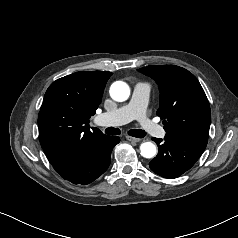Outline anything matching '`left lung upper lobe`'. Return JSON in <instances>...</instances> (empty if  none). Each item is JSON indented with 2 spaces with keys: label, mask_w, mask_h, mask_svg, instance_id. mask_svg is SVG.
Instances as JSON below:
<instances>
[{
  "label": "left lung upper lobe",
  "mask_w": 238,
  "mask_h": 238,
  "mask_svg": "<svg viewBox=\"0 0 238 238\" xmlns=\"http://www.w3.org/2000/svg\"><path fill=\"white\" fill-rule=\"evenodd\" d=\"M156 81L160 90L157 115L166 135L206 146L211 111L197 78L176 65H150L139 70Z\"/></svg>",
  "instance_id": "obj_1"
}]
</instances>
